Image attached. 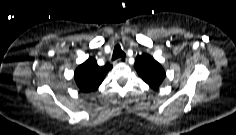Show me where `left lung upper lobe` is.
<instances>
[{"instance_id":"left-lung-upper-lobe-1","label":"left lung upper lobe","mask_w":236,"mask_h":135,"mask_svg":"<svg viewBox=\"0 0 236 135\" xmlns=\"http://www.w3.org/2000/svg\"><path fill=\"white\" fill-rule=\"evenodd\" d=\"M134 68L152 88H158L165 78V71L161 64L148 54L137 56Z\"/></svg>"}]
</instances>
